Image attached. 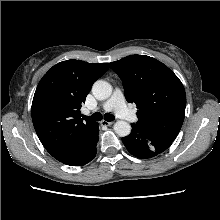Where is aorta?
<instances>
[{"mask_svg":"<svg viewBox=\"0 0 220 220\" xmlns=\"http://www.w3.org/2000/svg\"><path fill=\"white\" fill-rule=\"evenodd\" d=\"M92 93L96 99L105 100L112 94V86L104 80H97L93 84ZM113 128L115 133L121 137L128 136L131 132V125L123 120H118Z\"/></svg>","mask_w":220,"mask_h":220,"instance_id":"1","label":"aorta"}]
</instances>
